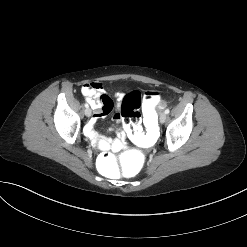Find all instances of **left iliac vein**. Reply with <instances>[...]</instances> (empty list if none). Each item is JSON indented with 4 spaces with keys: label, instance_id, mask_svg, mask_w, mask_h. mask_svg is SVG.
Instances as JSON below:
<instances>
[{
    "label": "left iliac vein",
    "instance_id": "obj_1",
    "mask_svg": "<svg viewBox=\"0 0 247 247\" xmlns=\"http://www.w3.org/2000/svg\"><path fill=\"white\" fill-rule=\"evenodd\" d=\"M166 118H167L166 113L165 112H162L160 114L159 120H160L161 123H164L166 121Z\"/></svg>",
    "mask_w": 247,
    "mask_h": 247
}]
</instances>
